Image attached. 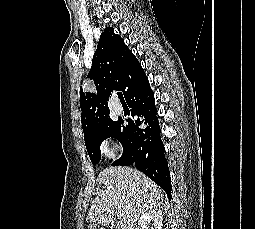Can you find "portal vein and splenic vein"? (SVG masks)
<instances>
[{
  "label": "portal vein and splenic vein",
  "instance_id": "1",
  "mask_svg": "<svg viewBox=\"0 0 255 229\" xmlns=\"http://www.w3.org/2000/svg\"><path fill=\"white\" fill-rule=\"evenodd\" d=\"M124 212L122 210L118 211V216H123Z\"/></svg>",
  "mask_w": 255,
  "mask_h": 229
}]
</instances>
